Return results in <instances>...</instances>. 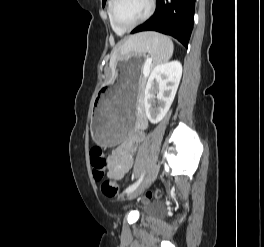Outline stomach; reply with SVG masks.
I'll list each match as a JSON object with an SVG mask.
<instances>
[{
	"label": "stomach",
	"instance_id": "obj_1",
	"mask_svg": "<svg viewBox=\"0 0 264 247\" xmlns=\"http://www.w3.org/2000/svg\"><path fill=\"white\" fill-rule=\"evenodd\" d=\"M124 61L143 62L144 58L139 53H131ZM143 67V63H116L114 82L100 86L92 106L91 129L94 141L102 147H117L120 141H127L137 113L133 103Z\"/></svg>",
	"mask_w": 264,
	"mask_h": 247
}]
</instances>
